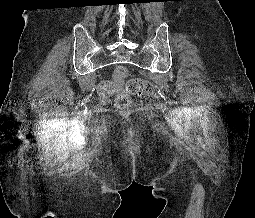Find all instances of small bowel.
<instances>
[{
  "mask_svg": "<svg viewBox=\"0 0 255 218\" xmlns=\"http://www.w3.org/2000/svg\"><path fill=\"white\" fill-rule=\"evenodd\" d=\"M101 84V83H100ZM121 85H122V82L121 83H119V87H121ZM101 95V94H100Z\"/></svg>",
  "mask_w": 255,
  "mask_h": 218,
  "instance_id": "small-bowel-1",
  "label": "small bowel"
}]
</instances>
